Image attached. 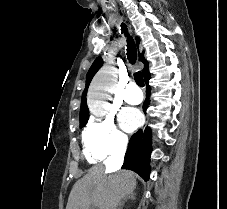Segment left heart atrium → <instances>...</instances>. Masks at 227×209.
<instances>
[{
  "instance_id": "39dd6f15",
  "label": "left heart atrium",
  "mask_w": 227,
  "mask_h": 209,
  "mask_svg": "<svg viewBox=\"0 0 227 209\" xmlns=\"http://www.w3.org/2000/svg\"><path fill=\"white\" fill-rule=\"evenodd\" d=\"M140 120L141 116L136 108L125 107L119 114V123L127 132L134 131L138 127Z\"/></svg>"
}]
</instances>
